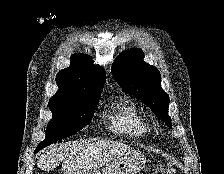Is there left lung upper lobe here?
Here are the masks:
<instances>
[{"label":"left lung upper lobe","instance_id":"5c2ea615","mask_svg":"<svg viewBox=\"0 0 224 174\" xmlns=\"http://www.w3.org/2000/svg\"><path fill=\"white\" fill-rule=\"evenodd\" d=\"M143 58L144 53L140 49L127 50L116 58L111 72L125 92L142 100L171 128L169 96L161 88L160 73Z\"/></svg>","mask_w":224,"mask_h":174}]
</instances>
